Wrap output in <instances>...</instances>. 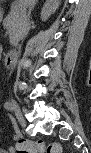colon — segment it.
I'll list each match as a JSON object with an SVG mask.
<instances>
[{
	"instance_id": "1",
	"label": "colon",
	"mask_w": 91,
	"mask_h": 153,
	"mask_svg": "<svg viewBox=\"0 0 91 153\" xmlns=\"http://www.w3.org/2000/svg\"><path fill=\"white\" fill-rule=\"evenodd\" d=\"M15 153H61L62 148L56 144H47L43 140L19 139L14 146Z\"/></svg>"
}]
</instances>
